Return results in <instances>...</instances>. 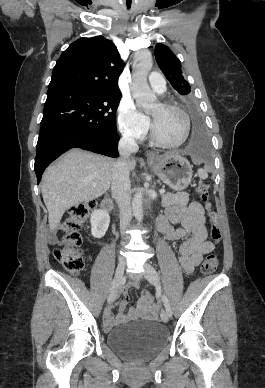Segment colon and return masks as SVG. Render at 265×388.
<instances>
[{
	"mask_svg": "<svg viewBox=\"0 0 265 388\" xmlns=\"http://www.w3.org/2000/svg\"><path fill=\"white\" fill-rule=\"evenodd\" d=\"M196 191L207 208L211 224V239L214 243H218L221 240V230L217 214L211 209V204L209 202V186L205 183H199ZM94 208V202L76 204L68 210L67 217L62 224L63 236L59 246L54 250V257L73 275L79 274L84 268L85 258L84 253L80 248L82 244L80 229ZM217 266V255L215 253H209L206 255L201 265V271L204 274H211L216 270ZM141 297L148 304L154 303L153 295L147 290L141 291Z\"/></svg>",
	"mask_w": 265,
	"mask_h": 388,
	"instance_id": "obj_1",
	"label": "colon"
}]
</instances>
